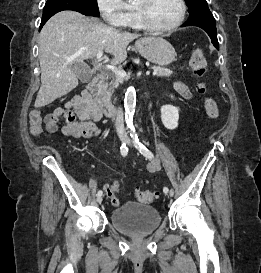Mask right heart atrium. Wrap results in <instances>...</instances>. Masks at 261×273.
Instances as JSON below:
<instances>
[{"label":"right heart atrium","mask_w":261,"mask_h":273,"mask_svg":"<svg viewBox=\"0 0 261 273\" xmlns=\"http://www.w3.org/2000/svg\"><path fill=\"white\" fill-rule=\"evenodd\" d=\"M103 19L111 26L124 27L129 15V6L124 0H97Z\"/></svg>","instance_id":"d8ad5b80"}]
</instances>
